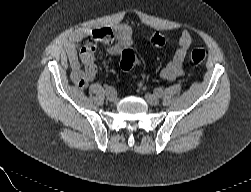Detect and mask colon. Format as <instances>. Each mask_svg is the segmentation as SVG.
Here are the masks:
<instances>
[{"instance_id":"5ec220e1","label":"colon","mask_w":251,"mask_h":192,"mask_svg":"<svg viewBox=\"0 0 251 192\" xmlns=\"http://www.w3.org/2000/svg\"><path fill=\"white\" fill-rule=\"evenodd\" d=\"M148 40L149 43L155 47H160L165 43V38L158 33L151 35ZM206 57L207 52L202 48L194 49L190 54L191 62L196 65L202 64L206 60ZM139 61L140 60L134 51L130 49H125L122 51L120 59V66L122 69L129 70L137 65Z\"/></svg>"}]
</instances>
